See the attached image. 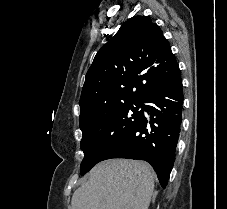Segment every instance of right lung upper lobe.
I'll return each instance as SVG.
<instances>
[{"label":"right lung upper lobe","mask_w":227,"mask_h":209,"mask_svg":"<svg viewBox=\"0 0 227 209\" xmlns=\"http://www.w3.org/2000/svg\"><path fill=\"white\" fill-rule=\"evenodd\" d=\"M169 42L148 16H135L98 51L89 68L80 98V119L102 113V101L144 99L167 81L157 66L176 65Z\"/></svg>","instance_id":"1"}]
</instances>
